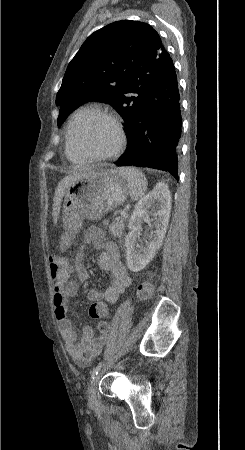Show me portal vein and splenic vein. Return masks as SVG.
<instances>
[{"label": "portal vein and splenic vein", "instance_id": "obj_1", "mask_svg": "<svg viewBox=\"0 0 245 450\" xmlns=\"http://www.w3.org/2000/svg\"><path fill=\"white\" fill-rule=\"evenodd\" d=\"M121 215L123 216V217H128V214H127V212H121Z\"/></svg>", "mask_w": 245, "mask_h": 450}]
</instances>
